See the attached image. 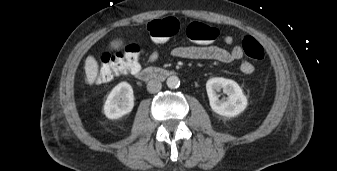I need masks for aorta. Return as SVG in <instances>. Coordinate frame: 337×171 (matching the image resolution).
Returning a JSON list of instances; mask_svg holds the SVG:
<instances>
[{"mask_svg":"<svg viewBox=\"0 0 337 171\" xmlns=\"http://www.w3.org/2000/svg\"><path fill=\"white\" fill-rule=\"evenodd\" d=\"M166 84L170 89H176L180 85V80L177 76L173 75V76L168 77Z\"/></svg>","mask_w":337,"mask_h":171,"instance_id":"obj_1","label":"aorta"}]
</instances>
